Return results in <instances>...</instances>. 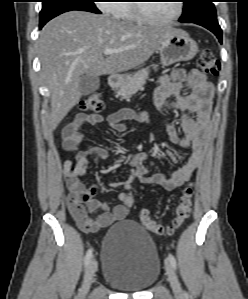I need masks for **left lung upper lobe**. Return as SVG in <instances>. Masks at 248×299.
I'll return each instance as SVG.
<instances>
[{
  "mask_svg": "<svg viewBox=\"0 0 248 299\" xmlns=\"http://www.w3.org/2000/svg\"><path fill=\"white\" fill-rule=\"evenodd\" d=\"M202 20H217L213 0H184L180 22L197 23Z\"/></svg>",
  "mask_w": 248,
  "mask_h": 299,
  "instance_id": "obj_1",
  "label": "left lung upper lobe"
}]
</instances>
